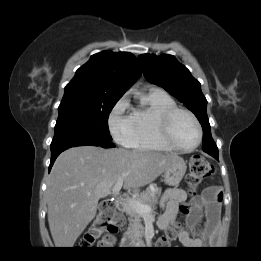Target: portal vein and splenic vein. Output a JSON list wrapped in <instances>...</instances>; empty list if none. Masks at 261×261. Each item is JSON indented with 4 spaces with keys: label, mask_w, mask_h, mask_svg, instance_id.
Masks as SVG:
<instances>
[{
    "label": "portal vein and splenic vein",
    "mask_w": 261,
    "mask_h": 261,
    "mask_svg": "<svg viewBox=\"0 0 261 261\" xmlns=\"http://www.w3.org/2000/svg\"><path fill=\"white\" fill-rule=\"evenodd\" d=\"M123 178L118 179L116 184L113 187V194H118L123 186ZM128 202L131 204V206L140 214H147L151 212V207L149 205L141 204L139 202L133 201L128 199Z\"/></svg>",
    "instance_id": "18ae733b"
}]
</instances>
